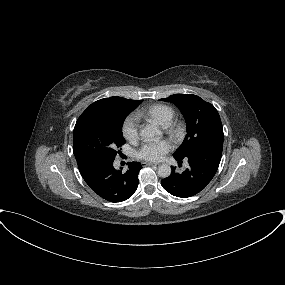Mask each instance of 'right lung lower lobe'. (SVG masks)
<instances>
[{"label":"right lung lower lobe","mask_w":285,"mask_h":285,"mask_svg":"<svg viewBox=\"0 0 285 285\" xmlns=\"http://www.w3.org/2000/svg\"><path fill=\"white\" fill-rule=\"evenodd\" d=\"M113 161L87 160L77 164L88 186L103 199L115 203L127 200L136 191L142 166L129 162L128 170L122 172L113 167Z\"/></svg>","instance_id":"right-lung-lower-lobe-1"}]
</instances>
